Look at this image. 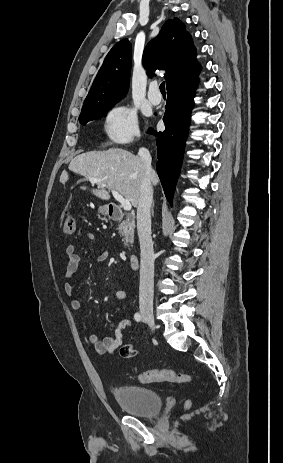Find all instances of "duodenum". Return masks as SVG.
<instances>
[{"label":"duodenum","instance_id":"1","mask_svg":"<svg viewBox=\"0 0 283 463\" xmlns=\"http://www.w3.org/2000/svg\"><path fill=\"white\" fill-rule=\"evenodd\" d=\"M107 211H108L109 217L112 220L118 221V220H122L124 217V213L122 209L116 204H108ZM129 263L132 269H137L139 266V257L135 254L130 255Z\"/></svg>","mask_w":283,"mask_h":463}]
</instances>
